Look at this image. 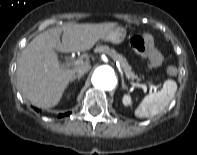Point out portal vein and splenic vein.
Instances as JSON below:
<instances>
[{
	"mask_svg": "<svg viewBox=\"0 0 197 155\" xmlns=\"http://www.w3.org/2000/svg\"><path fill=\"white\" fill-rule=\"evenodd\" d=\"M81 63H82L81 60H77V61L74 62V65H79V64H81ZM130 84L133 85V86H136V87H140V88H142L144 91H146L147 88H149L151 92H152V90H153L154 92H156L157 89L159 88L158 85H154V84H152V83H150V82L148 83V86H147L146 84H139V83H135V82H132V81H130Z\"/></svg>",
	"mask_w": 197,
	"mask_h": 155,
	"instance_id": "18ae733b",
	"label": "portal vein and splenic vein"
}]
</instances>
